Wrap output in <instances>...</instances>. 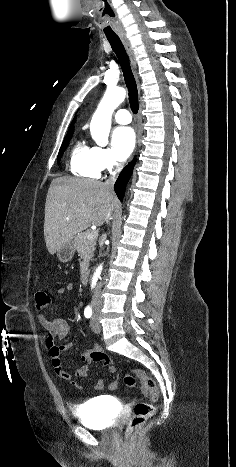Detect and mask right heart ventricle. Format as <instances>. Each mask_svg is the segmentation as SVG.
<instances>
[{
  "mask_svg": "<svg viewBox=\"0 0 236 467\" xmlns=\"http://www.w3.org/2000/svg\"><path fill=\"white\" fill-rule=\"evenodd\" d=\"M69 168L78 177L97 179L100 176V171L94 164L92 147L82 141L76 142L71 151Z\"/></svg>",
  "mask_w": 236,
  "mask_h": 467,
  "instance_id": "1",
  "label": "right heart ventricle"
}]
</instances>
